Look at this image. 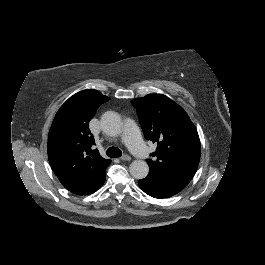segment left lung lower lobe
I'll list each match as a JSON object with an SVG mask.
<instances>
[{"mask_svg": "<svg viewBox=\"0 0 265 265\" xmlns=\"http://www.w3.org/2000/svg\"><path fill=\"white\" fill-rule=\"evenodd\" d=\"M190 180L165 178L150 173L144 179L138 181L139 187L154 198H168L184 189Z\"/></svg>", "mask_w": 265, "mask_h": 265, "instance_id": "left-lung-lower-lobe-1", "label": "left lung lower lobe"}]
</instances>
